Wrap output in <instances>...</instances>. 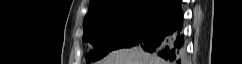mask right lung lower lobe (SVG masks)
<instances>
[{
  "label": "right lung lower lobe",
  "instance_id": "1",
  "mask_svg": "<svg viewBox=\"0 0 242 64\" xmlns=\"http://www.w3.org/2000/svg\"><path fill=\"white\" fill-rule=\"evenodd\" d=\"M183 26L181 1L177 0L136 46L172 64H183L185 61Z\"/></svg>",
  "mask_w": 242,
  "mask_h": 64
}]
</instances>
